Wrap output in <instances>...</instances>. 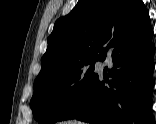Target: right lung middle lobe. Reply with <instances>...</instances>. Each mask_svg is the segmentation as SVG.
Returning <instances> with one entry per match:
<instances>
[{"mask_svg":"<svg viewBox=\"0 0 156 124\" xmlns=\"http://www.w3.org/2000/svg\"><path fill=\"white\" fill-rule=\"evenodd\" d=\"M93 59L70 65L36 78L30 101L33 117L40 124H54L97 77Z\"/></svg>","mask_w":156,"mask_h":124,"instance_id":"obj_1","label":"right lung middle lobe"}]
</instances>
